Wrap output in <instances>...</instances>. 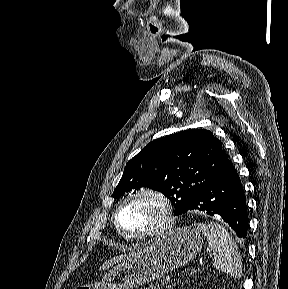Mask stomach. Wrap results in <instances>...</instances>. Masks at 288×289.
Returning <instances> with one entry per match:
<instances>
[{"label": "stomach", "mask_w": 288, "mask_h": 289, "mask_svg": "<svg viewBox=\"0 0 288 289\" xmlns=\"http://www.w3.org/2000/svg\"><path fill=\"white\" fill-rule=\"evenodd\" d=\"M203 238L191 226L173 228L158 236L128 261L108 271L100 282L75 289H134L188 263L202 249Z\"/></svg>", "instance_id": "0dacf381"}]
</instances>
